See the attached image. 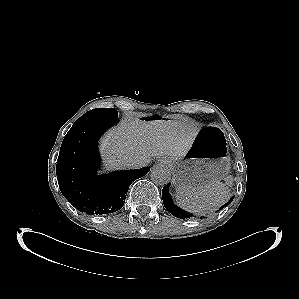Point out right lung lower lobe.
Instances as JSON below:
<instances>
[{
  "mask_svg": "<svg viewBox=\"0 0 299 299\" xmlns=\"http://www.w3.org/2000/svg\"><path fill=\"white\" fill-rule=\"evenodd\" d=\"M118 120L74 123L66 134L56 165L63 196L80 212L109 214L123 207L131 183L150 168L95 175L100 164L99 137Z\"/></svg>",
  "mask_w": 299,
  "mask_h": 299,
  "instance_id": "right-lung-lower-lobe-1",
  "label": "right lung lower lobe"
}]
</instances>
